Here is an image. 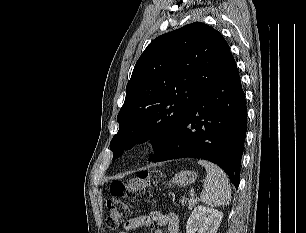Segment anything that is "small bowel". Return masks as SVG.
<instances>
[{
	"label": "small bowel",
	"mask_w": 306,
	"mask_h": 233,
	"mask_svg": "<svg viewBox=\"0 0 306 233\" xmlns=\"http://www.w3.org/2000/svg\"><path fill=\"white\" fill-rule=\"evenodd\" d=\"M153 222L166 227L168 233H179V218L176 214H164L153 211L148 215H140L126 221L119 233H129L140 227H149ZM155 233H163L158 229Z\"/></svg>",
	"instance_id": "small-bowel-1"
}]
</instances>
